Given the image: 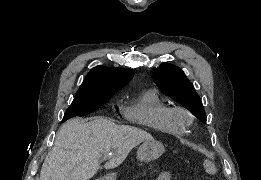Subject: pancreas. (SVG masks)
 I'll return each instance as SVG.
<instances>
[{
    "instance_id": "pancreas-1",
    "label": "pancreas",
    "mask_w": 261,
    "mask_h": 180,
    "mask_svg": "<svg viewBox=\"0 0 261 180\" xmlns=\"http://www.w3.org/2000/svg\"><path fill=\"white\" fill-rule=\"evenodd\" d=\"M155 165V169H158V167H163V162H155L151 163V166H149V163H145V165H141V170H146V169H153V166Z\"/></svg>"
}]
</instances>
